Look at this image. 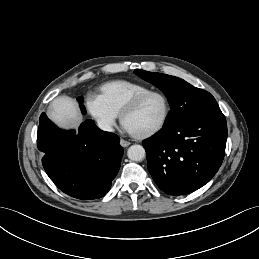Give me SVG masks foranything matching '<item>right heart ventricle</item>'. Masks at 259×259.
Returning <instances> with one entry per match:
<instances>
[{"mask_svg":"<svg viewBox=\"0 0 259 259\" xmlns=\"http://www.w3.org/2000/svg\"><path fill=\"white\" fill-rule=\"evenodd\" d=\"M150 90L148 86L137 82L116 80L102 85L99 96L115 115H120L133 98Z\"/></svg>","mask_w":259,"mask_h":259,"instance_id":"obj_1","label":"right heart ventricle"}]
</instances>
